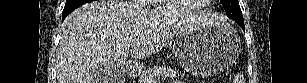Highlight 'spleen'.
<instances>
[{"label":"spleen","instance_id":"1","mask_svg":"<svg viewBox=\"0 0 307 83\" xmlns=\"http://www.w3.org/2000/svg\"><path fill=\"white\" fill-rule=\"evenodd\" d=\"M233 83H245L243 74L240 73L237 74L236 77L234 78Z\"/></svg>","mask_w":307,"mask_h":83}]
</instances>
